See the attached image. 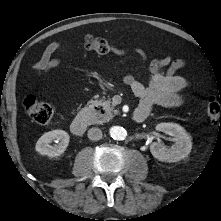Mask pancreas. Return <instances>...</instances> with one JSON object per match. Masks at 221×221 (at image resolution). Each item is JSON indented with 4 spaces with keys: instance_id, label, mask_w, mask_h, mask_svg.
I'll use <instances>...</instances> for the list:
<instances>
[{
    "instance_id": "obj_1",
    "label": "pancreas",
    "mask_w": 221,
    "mask_h": 221,
    "mask_svg": "<svg viewBox=\"0 0 221 221\" xmlns=\"http://www.w3.org/2000/svg\"><path fill=\"white\" fill-rule=\"evenodd\" d=\"M89 103L92 106H102L105 110V114L102 116L103 118H100L98 114H91L89 117V122L91 124H100L106 121L109 117H113L115 114L118 113L117 110H114V106L111 105L110 100H91Z\"/></svg>"
}]
</instances>
